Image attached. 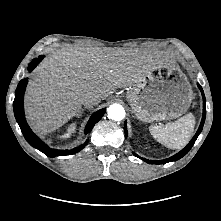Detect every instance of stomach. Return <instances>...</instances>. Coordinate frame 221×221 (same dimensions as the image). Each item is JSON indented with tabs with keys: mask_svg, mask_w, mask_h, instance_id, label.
Listing matches in <instances>:
<instances>
[{
	"mask_svg": "<svg viewBox=\"0 0 221 221\" xmlns=\"http://www.w3.org/2000/svg\"><path fill=\"white\" fill-rule=\"evenodd\" d=\"M192 94L185 75L164 64L147 73L126 97L135 116L150 123L180 117L189 108Z\"/></svg>",
	"mask_w": 221,
	"mask_h": 221,
	"instance_id": "0dacf381",
	"label": "stomach"
}]
</instances>
